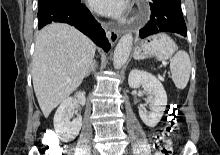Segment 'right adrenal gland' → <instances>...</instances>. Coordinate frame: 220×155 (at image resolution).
<instances>
[{
  "mask_svg": "<svg viewBox=\"0 0 220 155\" xmlns=\"http://www.w3.org/2000/svg\"><path fill=\"white\" fill-rule=\"evenodd\" d=\"M96 66H97V63H96V60H94L91 64L90 68L86 72L85 77H88L91 72H95Z\"/></svg>",
  "mask_w": 220,
  "mask_h": 155,
  "instance_id": "1",
  "label": "right adrenal gland"
}]
</instances>
